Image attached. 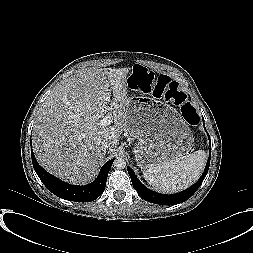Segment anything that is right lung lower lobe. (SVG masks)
<instances>
[{
    "label": "right lung lower lobe",
    "instance_id": "98d812e1",
    "mask_svg": "<svg viewBox=\"0 0 253 253\" xmlns=\"http://www.w3.org/2000/svg\"><path fill=\"white\" fill-rule=\"evenodd\" d=\"M31 157L34 170L47 189L60 198L75 202H90L103 193L110 167L114 161V159H111L105 163L102 166L97 179L91 184L75 186L62 181L45 171L36 161L33 151H31Z\"/></svg>",
    "mask_w": 253,
    "mask_h": 253
}]
</instances>
